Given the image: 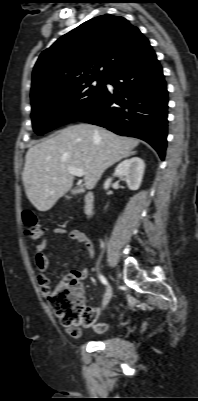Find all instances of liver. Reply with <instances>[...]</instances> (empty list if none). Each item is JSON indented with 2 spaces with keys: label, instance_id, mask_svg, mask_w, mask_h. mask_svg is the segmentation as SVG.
Listing matches in <instances>:
<instances>
[{
  "label": "liver",
  "instance_id": "liver-1",
  "mask_svg": "<svg viewBox=\"0 0 198 401\" xmlns=\"http://www.w3.org/2000/svg\"><path fill=\"white\" fill-rule=\"evenodd\" d=\"M138 144V139L89 124L62 129L27 151L22 173L26 195L38 210L47 211L72 187L68 167L82 169L86 188L93 189L103 172Z\"/></svg>",
  "mask_w": 198,
  "mask_h": 401
}]
</instances>
